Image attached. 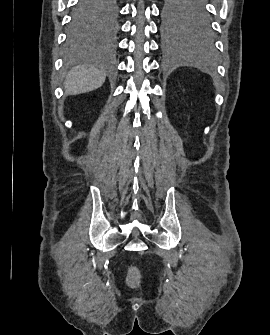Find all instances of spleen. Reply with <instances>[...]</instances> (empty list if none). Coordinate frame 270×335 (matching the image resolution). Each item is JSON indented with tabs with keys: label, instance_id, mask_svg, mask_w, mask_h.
<instances>
[{
	"label": "spleen",
	"instance_id": "3e777b00",
	"mask_svg": "<svg viewBox=\"0 0 270 335\" xmlns=\"http://www.w3.org/2000/svg\"><path fill=\"white\" fill-rule=\"evenodd\" d=\"M182 60H185V62H201V58H199L196 48H194L192 52V46H188V44H184L182 48Z\"/></svg>",
	"mask_w": 270,
	"mask_h": 335
}]
</instances>
